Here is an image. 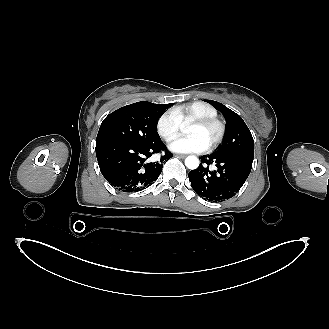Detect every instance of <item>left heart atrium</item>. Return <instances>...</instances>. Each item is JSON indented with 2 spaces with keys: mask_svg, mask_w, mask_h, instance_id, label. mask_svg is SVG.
<instances>
[{
  "mask_svg": "<svg viewBox=\"0 0 329 329\" xmlns=\"http://www.w3.org/2000/svg\"><path fill=\"white\" fill-rule=\"evenodd\" d=\"M206 143L197 135H189L170 143V150L178 153H199L207 149Z\"/></svg>",
  "mask_w": 329,
  "mask_h": 329,
  "instance_id": "obj_1",
  "label": "left heart atrium"
}]
</instances>
